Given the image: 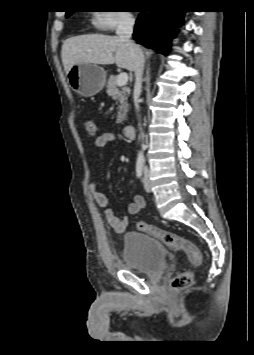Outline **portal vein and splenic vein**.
<instances>
[{
  "instance_id": "18ae733b",
  "label": "portal vein and splenic vein",
  "mask_w": 254,
  "mask_h": 355,
  "mask_svg": "<svg viewBox=\"0 0 254 355\" xmlns=\"http://www.w3.org/2000/svg\"><path fill=\"white\" fill-rule=\"evenodd\" d=\"M128 82V74L127 73H120L118 76H117V80H116V84L117 86H124L126 85V83Z\"/></svg>"
}]
</instances>
